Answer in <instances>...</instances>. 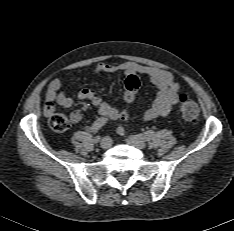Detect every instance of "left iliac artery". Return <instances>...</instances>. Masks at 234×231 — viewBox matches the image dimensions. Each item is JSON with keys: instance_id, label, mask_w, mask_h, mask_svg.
<instances>
[{"instance_id": "44dca946", "label": "left iliac artery", "mask_w": 234, "mask_h": 231, "mask_svg": "<svg viewBox=\"0 0 234 231\" xmlns=\"http://www.w3.org/2000/svg\"><path fill=\"white\" fill-rule=\"evenodd\" d=\"M117 132L120 135L126 134L123 127H118ZM154 133L155 132L153 130H149V131H146V132L138 134V135H130L129 137L134 138V139L143 140V141H150L154 137Z\"/></svg>"}]
</instances>
